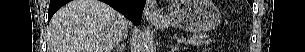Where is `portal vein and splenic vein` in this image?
I'll return each mask as SVG.
<instances>
[{"instance_id": "1", "label": "portal vein and splenic vein", "mask_w": 305, "mask_h": 52, "mask_svg": "<svg viewBox=\"0 0 305 52\" xmlns=\"http://www.w3.org/2000/svg\"><path fill=\"white\" fill-rule=\"evenodd\" d=\"M177 41H178V43L184 42V41H185V38L178 39Z\"/></svg>"}]
</instances>
